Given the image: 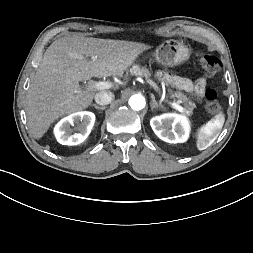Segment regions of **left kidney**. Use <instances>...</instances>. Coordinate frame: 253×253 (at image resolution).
I'll return each instance as SVG.
<instances>
[{
    "label": "left kidney",
    "mask_w": 253,
    "mask_h": 253,
    "mask_svg": "<svg viewBox=\"0 0 253 253\" xmlns=\"http://www.w3.org/2000/svg\"><path fill=\"white\" fill-rule=\"evenodd\" d=\"M154 133L168 143H183L187 141L190 125L187 118L175 113H165L150 120Z\"/></svg>",
    "instance_id": "5707ae66"
}]
</instances>
